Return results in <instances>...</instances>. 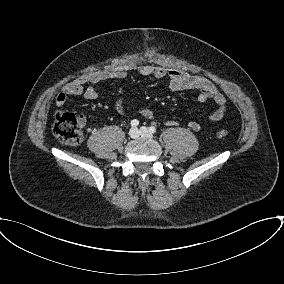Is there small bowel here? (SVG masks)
Masks as SVG:
<instances>
[{
    "label": "small bowel",
    "instance_id": "1",
    "mask_svg": "<svg viewBox=\"0 0 284 284\" xmlns=\"http://www.w3.org/2000/svg\"><path fill=\"white\" fill-rule=\"evenodd\" d=\"M137 70L143 76L167 79L169 88L174 92L186 90L198 91L197 99L201 103L212 100L216 104V108L208 116L209 122H217L225 116L226 98L207 78L180 70H168L163 67L151 65H141ZM128 72L129 69L127 67H119L112 70L93 71L82 74L62 87L55 99L56 106H64L70 96H83L88 100H94L100 94L102 82L109 79H125L128 76ZM116 108L120 114H123L125 112L124 102L118 101ZM139 113L144 118L150 119L153 117V113L147 108L140 109ZM82 123H84L83 118ZM166 124L176 126L177 122L175 120H167ZM188 126L194 131H200L204 128V125L194 120L190 121Z\"/></svg>",
    "mask_w": 284,
    "mask_h": 284
}]
</instances>
